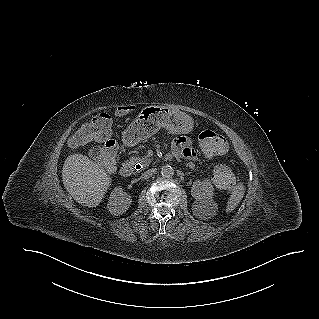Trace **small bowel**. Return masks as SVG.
Returning a JSON list of instances; mask_svg holds the SVG:
<instances>
[{"label": "small bowel", "mask_w": 319, "mask_h": 319, "mask_svg": "<svg viewBox=\"0 0 319 319\" xmlns=\"http://www.w3.org/2000/svg\"><path fill=\"white\" fill-rule=\"evenodd\" d=\"M115 113L120 117H127L130 114V107L127 104H120L115 108ZM172 153L181 155L189 160H196L195 151L191 148L190 140L185 136H179L172 143Z\"/></svg>", "instance_id": "obj_1"}]
</instances>
